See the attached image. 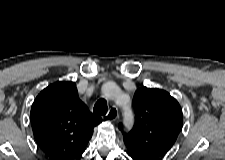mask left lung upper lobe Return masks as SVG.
<instances>
[{
  "label": "left lung upper lobe",
  "mask_w": 225,
  "mask_h": 160,
  "mask_svg": "<svg viewBox=\"0 0 225 160\" xmlns=\"http://www.w3.org/2000/svg\"><path fill=\"white\" fill-rule=\"evenodd\" d=\"M133 107L134 126L123 133L127 151L142 160L163 158L182 129L179 103L164 90L143 86L135 92ZM119 129L122 130L121 124Z\"/></svg>",
  "instance_id": "5c2ea615"
}]
</instances>
